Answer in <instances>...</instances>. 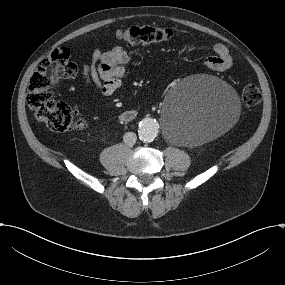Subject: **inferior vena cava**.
<instances>
[{
  "mask_svg": "<svg viewBox=\"0 0 285 285\" xmlns=\"http://www.w3.org/2000/svg\"><path fill=\"white\" fill-rule=\"evenodd\" d=\"M123 140H124L126 145L132 146V145L135 144V142L137 140V136H136V134L134 132H127L123 136Z\"/></svg>",
  "mask_w": 285,
  "mask_h": 285,
  "instance_id": "1",
  "label": "inferior vena cava"
}]
</instances>
